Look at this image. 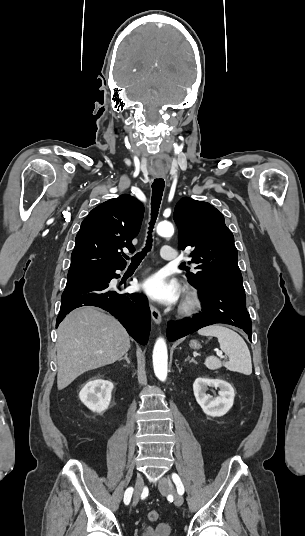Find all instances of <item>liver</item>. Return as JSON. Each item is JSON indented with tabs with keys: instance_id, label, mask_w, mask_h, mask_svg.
<instances>
[{
	"instance_id": "obj_1",
	"label": "liver",
	"mask_w": 305,
	"mask_h": 536,
	"mask_svg": "<svg viewBox=\"0 0 305 536\" xmlns=\"http://www.w3.org/2000/svg\"><path fill=\"white\" fill-rule=\"evenodd\" d=\"M129 348L130 338L113 316L92 306L73 310L58 328V390L88 370L114 364Z\"/></svg>"
}]
</instances>
